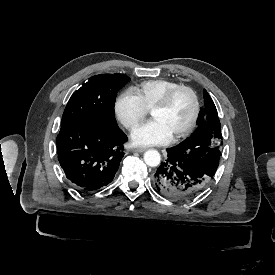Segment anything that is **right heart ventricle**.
Returning a JSON list of instances; mask_svg holds the SVG:
<instances>
[{
	"label": "right heart ventricle",
	"instance_id": "right-heart-ventricle-1",
	"mask_svg": "<svg viewBox=\"0 0 275 275\" xmlns=\"http://www.w3.org/2000/svg\"><path fill=\"white\" fill-rule=\"evenodd\" d=\"M177 83L166 79L144 80L134 87V93L148 109L151 108L163 97V95Z\"/></svg>",
	"mask_w": 275,
	"mask_h": 275
}]
</instances>
